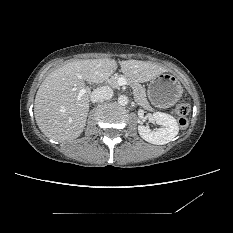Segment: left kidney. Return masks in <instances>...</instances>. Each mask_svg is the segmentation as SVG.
Listing matches in <instances>:
<instances>
[{
	"instance_id": "1",
	"label": "left kidney",
	"mask_w": 233,
	"mask_h": 233,
	"mask_svg": "<svg viewBox=\"0 0 233 233\" xmlns=\"http://www.w3.org/2000/svg\"><path fill=\"white\" fill-rule=\"evenodd\" d=\"M152 118L156 124L162 127L152 131L148 126L139 125V134L145 141L156 145H164L178 134L179 127L173 116L162 112H155Z\"/></svg>"
}]
</instances>
